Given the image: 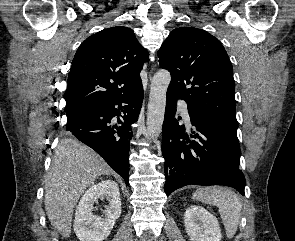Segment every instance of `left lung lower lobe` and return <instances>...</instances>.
Instances as JSON below:
<instances>
[{
    "mask_svg": "<svg viewBox=\"0 0 295 241\" xmlns=\"http://www.w3.org/2000/svg\"><path fill=\"white\" fill-rule=\"evenodd\" d=\"M178 97L167 90L162 127L165 187L168 196L186 185H226L244 195L237 130L189 111L194 130L190 140L175 116ZM179 119V118H178Z\"/></svg>",
    "mask_w": 295,
    "mask_h": 241,
    "instance_id": "1",
    "label": "left lung lower lobe"
}]
</instances>
